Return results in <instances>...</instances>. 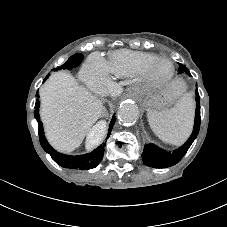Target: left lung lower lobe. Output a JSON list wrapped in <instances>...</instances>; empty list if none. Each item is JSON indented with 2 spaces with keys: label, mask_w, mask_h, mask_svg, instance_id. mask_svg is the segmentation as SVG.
<instances>
[{
  "label": "left lung lower lobe",
  "mask_w": 227,
  "mask_h": 227,
  "mask_svg": "<svg viewBox=\"0 0 227 227\" xmlns=\"http://www.w3.org/2000/svg\"><path fill=\"white\" fill-rule=\"evenodd\" d=\"M195 95H196V102H197L195 124H194L193 133L188 139V141L182 147H180L179 149L173 152H166L165 150L160 149L154 144H146L144 146V150L142 153V160L145 165L154 167V168H166V167L175 165L183 158V156L188 151L193 141L196 139L200 129V109H199L200 98H199L198 90H196Z\"/></svg>",
  "instance_id": "0a47b994"
}]
</instances>
